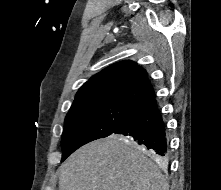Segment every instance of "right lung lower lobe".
<instances>
[{"mask_svg":"<svg viewBox=\"0 0 221 190\" xmlns=\"http://www.w3.org/2000/svg\"><path fill=\"white\" fill-rule=\"evenodd\" d=\"M114 133L132 137L156 156L168 154L167 129L155 97L136 108Z\"/></svg>","mask_w":221,"mask_h":190,"instance_id":"right-lung-lower-lobe-1","label":"right lung lower lobe"}]
</instances>
